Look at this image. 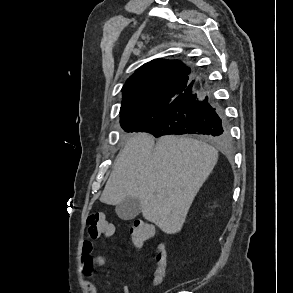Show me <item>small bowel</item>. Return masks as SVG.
Masks as SVG:
<instances>
[{"instance_id": "small-bowel-1", "label": "small bowel", "mask_w": 293, "mask_h": 293, "mask_svg": "<svg viewBox=\"0 0 293 293\" xmlns=\"http://www.w3.org/2000/svg\"><path fill=\"white\" fill-rule=\"evenodd\" d=\"M81 268L86 277L84 286L88 293H97L96 285L90 280L95 267H103L106 263L104 256L93 254V243L89 240H84L82 243ZM122 293H130L127 286L122 287Z\"/></svg>"}]
</instances>
